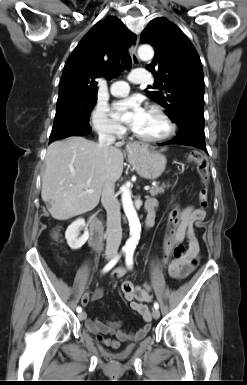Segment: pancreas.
Wrapping results in <instances>:
<instances>
[{"label": "pancreas", "instance_id": "pancreas-1", "mask_svg": "<svg viewBox=\"0 0 247 385\" xmlns=\"http://www.w3.org/2000/svg\"><path fill=\"white\" fill-rule=\"evenodd\" d=\"M170 184H162L159 186L158 184L152 186L149 190L151 196H157L158 194H162L165 191V188H169Z\"/></svg>", "mask_w": 247, "mask_h": 385}]
</instances>
